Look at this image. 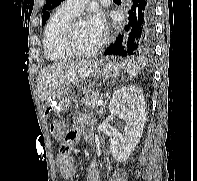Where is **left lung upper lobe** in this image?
Masks as SVG:
<instances>
[{
	"instance_id": "1",
	"label": "left lung upper lobe",
	"mask_w": 197,
	"mask_h": 181,
	"mask_svg": "<svg viewBox=\"0 0 197 181\" xmlns=\"http://www.w3.org/2000/svg\"><path fill=\"white\" fill-rule=\"evenodd\" d=\"M64 0H46V4L43 7V16H42V25H44L47 21V19L50 16V13L48 12L51 9H54L55 7H57L59 4H61V2H63Z\"/></svg>"
}]
</instances>
